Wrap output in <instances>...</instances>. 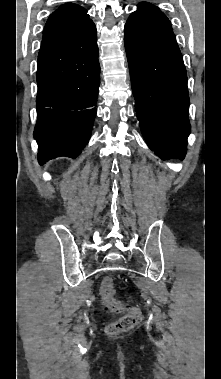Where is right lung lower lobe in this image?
I'll return each mask as SVG.
<instances>
[{
    "instance_id": "98d812e1",
    "label": "right lung lower lobe",
    "mask_w": 221,
    "mask_h": 379,
    "mask_svg": "<svg viewBox=\"0 0 221 379\" xmlns=\"http://www.w3.org/2000/svg\"><path fill=\"white\" fill-rule=\"evenodd\" d=\"M38 161L76 158L88 143L100 84L96 27L41 48L37 69Z\"/></svg>"
}]
</instances>
